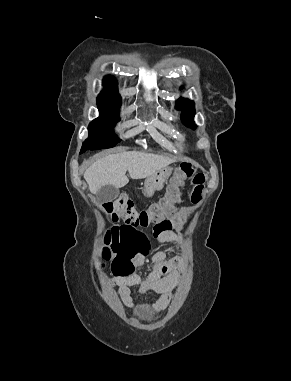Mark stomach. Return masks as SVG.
<instances>
[{
  "instance_id": "obj_1",
  "label": "stomach",
  "mask_w": 291,
  "mask_h": 381,
  "mask_svg": "<svg viewBox=\"0 0 291 381\" xmlns=\"http://www.w3.org/2000/svg\"><path fill=\"white\" fill-rule=\"evenodd\" d=\"M172 171V168L166 167L147 177L144 182V194L151 197L155 191L162 190Z\"/></svg>"
}]
</instances>
